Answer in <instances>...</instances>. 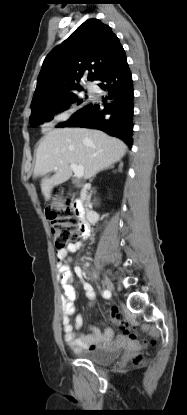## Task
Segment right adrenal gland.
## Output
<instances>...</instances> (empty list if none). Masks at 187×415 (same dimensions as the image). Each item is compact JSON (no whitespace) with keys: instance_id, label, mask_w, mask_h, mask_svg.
Listing matches in <instances>:
<instances>
[{"instance_id":"right-adrenal-gland-1","label":"right adrenal gland","mask_w":187,"mask_h":415,"mask_svg":"<svg viewBox=\"0 0 187 415\" xmlns=\"http://www.w3.org/2000/svg\"><path fill=\"white\" fill-rule=\"evenodd\" d=\"M114 166H110V167H107V168H105V169H109V168H113Z\"/></svg>"}]
</instances>
